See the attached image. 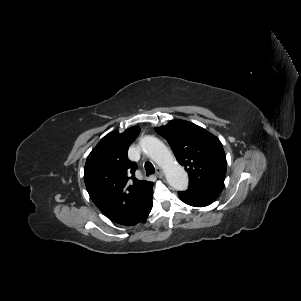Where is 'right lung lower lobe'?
<instances>
[{
  "label": "right lung lower lobe",
  "mask_w": 301,
  "mask_h": 301,
  "mask_svg": "<svg viewBox=\"0 0 301 301\" xmlns=\"http://www.w3.org/2000/svg\"><path fill=\"white\" fill-rule=\"evenodd\" d=\"M152 197H153V188L152 190L147 194L144 203L142 204L141 208L137 211V213L124 225H135L142 220H144L150 213L152 209Z\"/></svg>",
  "instance_id": "98d812e1"
}]
</instances>
